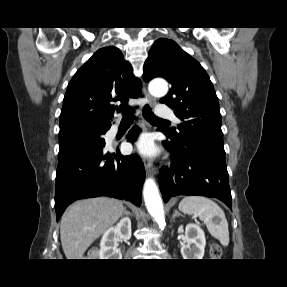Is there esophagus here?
I'll use <instances>...</instances> for the list:
<instances>
[{
    "label": "esophagus",
    "mask_w": 287,
    "mask_h": 287,
    "mask_svg": "<svg viewBox=\"0 0 287 287\" xmlns=\"http://www.w3.org/2000/svg\"><path fill=\"white\" fill-rule=\"evenodd\" d=\"M143 94L148 98L149 100V104L151 106H154L156 104V99L153 98L146 89L145 84H143ZM144 166H145V170L148 174H156V171L153 169V163L152 160H148V161H144Z\"/></svg>",
    "instance_id": "34e87169"
}]
</instances>
